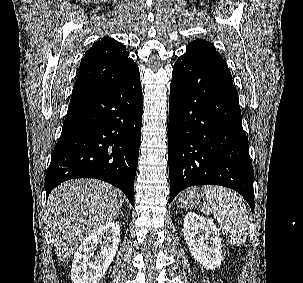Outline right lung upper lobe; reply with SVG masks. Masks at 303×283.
Masks as SVG:
<instances>
[{"mask_svg":"<svg viewBox=\"0 0 303 283\" xmlns=\"http://www.w3.org/2000/svg\"><path fill=\"white\" fill-rule=\"evenodd\" d=\"M139 74L125 46L110 37L95 42L86 51L70 101L123 85Z\"/></svg>","mask_w":303,"mask_h":283,"instance_id":"right-lung-upper-lobe-1","label":"right lung upper lobe"}]
</instances>
